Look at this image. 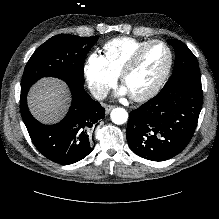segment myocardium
<instances>
[{
  "mask_svg": "<svg viewBox=\"0 0 219 219\" xmlns=\"http://www.w3.org/2000/svg\"><path fill=\"white\" fill-rule=\"evenodd\" d=\"M155 44H160L166 48L168 52V56H169L167 66L164 72L154 82V84L150 88H148L146 91L140 94H129L130 98L134 101H145V100L152 98L154 95H156L160 91V89L163 87V85L165 84L172 70L174 56H173V52L170 46L162 40H150L146 45H144L143 47L138 49L136 52H134L131 55V57L126 61L124 66L122 67L119 73L121 84L124 86V81L127 75L135 68V66L138 64V62L140 61L142 56L145 54V52Z\"/></svg>",
  "mask_w": 219,
  "mask_h": 219,
  "instance_id": "obj_1",
  "label": "myocardium"
}]
</instances>
